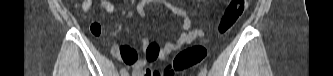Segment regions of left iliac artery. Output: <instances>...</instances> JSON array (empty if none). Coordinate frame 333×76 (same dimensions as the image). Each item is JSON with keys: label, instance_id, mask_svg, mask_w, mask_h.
<instances>
[{"label": "left iliac artery", "instance_id": "left-iliac-artery-1", "mask_svg": "<svg viewBox=\"0 0 333 76\" xmlns=\"http://www.w3.org/2000/svg\"><path fill=\"white\" fill-rule=\"evenodd\" d=\"M201 73L204 74V75H206V74H207V69H206V68H203V69L201 70Z\"/></svg>", "mask_w": 333, "mask_h": 76}]
</instances>
